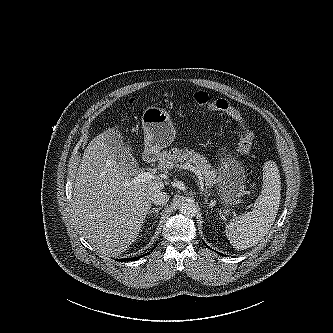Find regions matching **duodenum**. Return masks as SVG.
I'll return each mask as SVG.
<instances>
[{
	"label": "duodenum",
	"mask_w": 333,
	"mask_h": 333,
	"mask_svg": "<svg viewBox=\"0 0 333 333\" xmlns=\"http://www.w3.org/2000/svg\"><path fill=\"white\" fill-rule=\"evenodd\" d=\"M155 160V154L153 152H146L144 155V161L149 164Z\"/></svg>",
	"instance_id": "obj_1"
}]
</instances>
